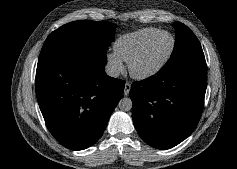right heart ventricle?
<instances>
[{"label": "right heart ventricle", "mask_w": 237, "mask_h": 169, "mask_svg": "<svg viewBox=\"0 0 237 169\" xmlns=\"http://www.w3.org/2000/svg\"><path fill=\"white\" fill-rule=\"evenodd\" d=\"M160 30L154 27L142 28L121 35L114 43V52L125 62H129L136 52Z\"/></svg>", "instance_id": "e07e8e85"}]
</instances>
